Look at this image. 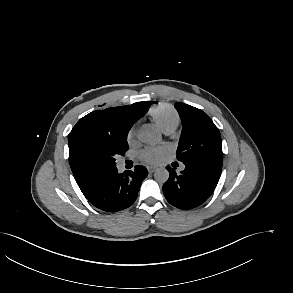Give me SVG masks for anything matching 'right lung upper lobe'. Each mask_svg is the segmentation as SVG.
Returning a JSON list of instances; mask_svg holds the SVG:
<instances>
[{
  "instance_id": "obj_1",
  "label": "right lung upper lobe",
  "mask_w": 293,
  "mask_h": 293,
  "mask_svg": "<svg viewBox=\"0 0 293 293\" xmlns=\"http://www.w3.org/2000/svg\"><path fill=\"white\" fill-rule=\"evenodd\" d=\"M151 103L145 101L93 111L81 118L69 133V163L85 197L95 191L101 180L116 168L95 161L89 154V146L103 137L120 136L145 115Z\"/></svg>"
}]
</instances>
